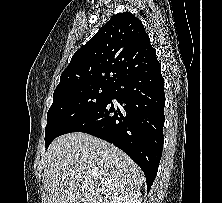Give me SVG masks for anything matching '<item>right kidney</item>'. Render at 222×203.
<instances>
[{
    "mask_svg": "<svg viewBox=\"0 0 222 203\" xmlns=\"http://www.w3.org/2000/svg\"><path fill=\"white\" fill-rule=\"evenodd\" d=\"M142 194L139 191H131L117 198L114 203H141Z\"/></svg>",
    "mask_w": 222,
    "mask_h": 203,
    "instance_id": "1",
    "label": "right kidney"
}]
</instances>
